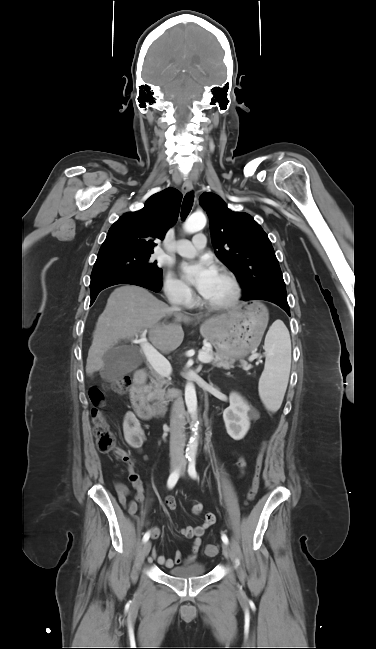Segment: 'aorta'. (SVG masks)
Instances as JSON below:
<instances>
[{"instance_id":"1","label":"aorta","mask_w":376,"mask_h":649,"mask_svg":"<svg viewBox=\"0 0 376 649\" xmlns=\"http://www.w3.org/2000/svg\"><path fill=\"white\" fill-rule=\"evenodd\" d=\"M206 225V217L201 212H196L192 214L184 224V229L187 233H195L202 230ZM185 402L187 409L191 416L194 418L197 416V397L196 390L193 382L188 381L185 387ZM194 436L190 440V453L194 454L196 452L197 446V424L194 425Z\"/></svg>"}]
</instances>
